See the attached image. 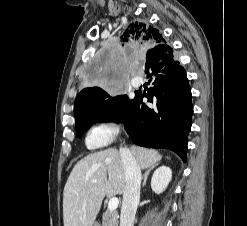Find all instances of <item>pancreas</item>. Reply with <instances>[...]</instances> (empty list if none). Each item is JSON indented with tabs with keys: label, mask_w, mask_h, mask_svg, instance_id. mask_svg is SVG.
I'll return each mask as SVG.
<instances>
[{
	"label": "pancreas",
	"mask_w": 247,
	"mask_h": 226,
	"mask_svg": "<svg viewBox=\"0 0 247 226\" xmlns=\"http://www.w3.org/2000/svg\"><path fill=\"white\" fill-rule=\"evenodd\" d=\"M119 215L115 211H106L102 216V226H118Z\"/></svg>",
	"instance_id": "1"
}]
</instances>
